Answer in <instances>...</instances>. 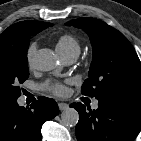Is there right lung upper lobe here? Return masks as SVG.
<instances>
[{
  "instance_id": "cb5924a9",
  "label": "right lung upper lobe",
  "mask_w": 141,
  "mask_h": 141,
  "mask_svg": "<svg viewBox=\"0 0 141 141\" xmlns=\"http://www.w3.org/2000/svg\"><path fill=\"white\" fill-rule=\"evenodd\" d=\"M49 23H45L42 21H21L15 23L8 27L1 35H0V42H16L21 40L26 34L35 32V31H42L43 29L49 27Z\"/></svg>"
}]
</instances>
